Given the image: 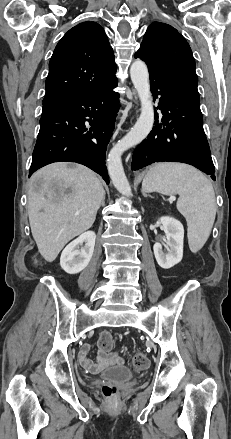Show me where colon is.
<instances>
[{
  "label": "colon",
  "instance_id": "1",
  "mask_svg": "<svg viewBox=\"0 0 231 439\" xmlns=\"http://www.w3.org/2000/svg\"><path fill=\"white\" fill-rule=\"evenodd\" d=\"M99 348L104 351H109L113 346V337L110 333L104 332L100 335L98 340ZM132 366L136 371H143L149 366V359L145 353L136 352L132 358ZM102 394L106 398H114L117 394V387L110 383H105L101 387Z\"/></svg>",
  "mask_w": 231,
  "mask_h": 439
}]
</instances>
